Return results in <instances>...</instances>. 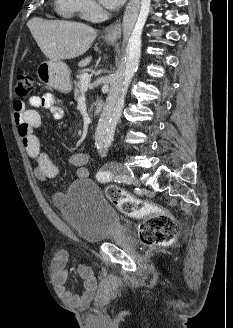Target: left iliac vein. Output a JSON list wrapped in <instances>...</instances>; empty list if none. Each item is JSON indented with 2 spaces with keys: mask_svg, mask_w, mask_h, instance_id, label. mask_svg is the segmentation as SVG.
I'll return each mask as SVG.
<instances>
[{
  "mask_svg": "<svg viewBox=\"0 0 233 328\" xmlns=\"http://www.w3.org/2000/svg\"><path fill=\"white\" fill-rule=\"evenodd\" d=\"M118 179L124 183L132 184L134 186H140V182L135 178L132 171L126 168L124 165H120L118 168Z\"/></svg>",
  "mask_w": 233,
  "mask_h": 328,
  "instance_id": "4c4485c4",
  "label": "left iliac vein"
}]
</instances>
